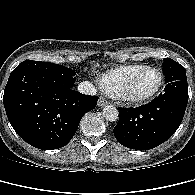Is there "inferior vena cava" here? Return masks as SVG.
Listing matches in <instances>:
<instances>
[{"mask_svg": "<svg viewBox=\"0 0 195 195\" xmlns=\"http://www.w3.org/2000/svg\"><path fill=\"white\" fill-rule=\"evenodd\" d=\"M78 91L82 94L96 95V89L94 85L89 81H83L79 83Z\"/></svg>", "mask_w": 195, "mask_h": 195, "instance_id": "1", "label": "inferior vena cava"}]
</instances>
